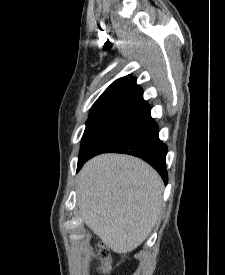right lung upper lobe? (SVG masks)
Masks as SVG:
<instances>
[{"instance_id":"cb5924a9","label":"right lung upper lobe","mask_w":225,"mask_h":275,"mask_svg":"<svg viewBox=\"0 0 225 275\" xmlns=\"http://www.w3.org/2000/svg\"><path fill=\"white\" fill-rule=\"evenodd\" d=\"M148 107L136 79L128 75L113 82L103 92L90 110L89 118L101 115L128 117Z\"/></svg>"}]
</instances>
